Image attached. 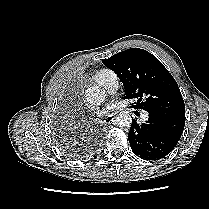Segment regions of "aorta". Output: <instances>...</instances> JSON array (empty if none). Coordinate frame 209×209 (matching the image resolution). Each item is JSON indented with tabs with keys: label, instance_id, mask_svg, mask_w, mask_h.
Wrapping results in <instances>:
<instances>
[{
	"label": "aorta",
	"instance_id": "obj_1",
	"mask_svg": "<svg viewBox=\"0 0 209 209\" xmlns=\"http://www.w3.org/2000/svg\"><path fill=\"white\" fill-rule=\"evenodd\" d=\"M85 97L88 103L93 105H100L106 98V92L104 89L98 86H92L86 90ZM114 123L120 128H128L131 126L132 118L128 113L122 112L117 115Z\"/></svg>",
	"mask_w": 209,
	"mask_h": 209
}]
</instances>
